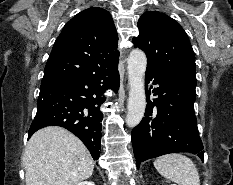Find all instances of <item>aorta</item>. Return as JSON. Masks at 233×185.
Masks as SVG:
<instances>
[{"label":"aorta","mask_w":233,"mask_h":185,"mask_svg":"<svg viewBox=\"0 0 233 185\" xmlns=\"http://www.w3.org/2000/svg\"><path fill=\"white\" fill-rule=\"evenodd\" d=\"M127 64L130 90L125 121L128 127L133 128L142 120L146 108L144 76L147 58L145 53L140 49L132 50Z\"/></svg>","instance_id":"obj_1"}]
</instances>
